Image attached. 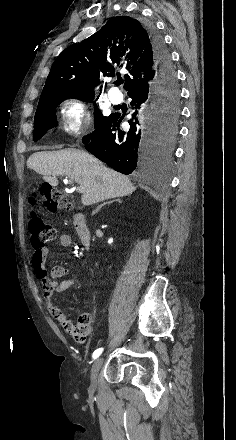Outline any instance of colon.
<instances>
[{
  "label": "colon",
  "instance_id": "1",
  "mask_svg": "<svg viewBox=\"0 0 236 440\" xmlns=\"http://www.w3.org/2000/svg\"><path fill=\"white\" fill-rule=\"evenodd\" d=\"M38 198H42L44 204L53 212L60 208H68L69 202L62 194L53 189L49 184H42L32 197L35 203ZM30 241L33 248H41L55 237V229L48 224L45 219L36 212L31 213L29 220Z\"/></svg>",
  "mask_w": 236,
  "mask_h": 440
}]
</instances>
